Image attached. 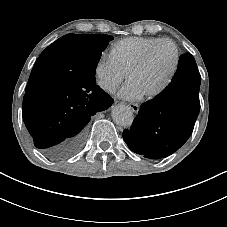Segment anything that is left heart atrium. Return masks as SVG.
<instances>
[{
  "label": "left heart atrium",
  "instance_id": "obj_1",
  "mask_svg": "<svg viewBox=\"0 0 227 227\" xmlns=\"http://www.w3.org/2000/svg\"><path fill=\"white\" fill-rule=\"evenodd\" d=\"M143 96L142 92L130 82H128L119 92L120 98L129 101L139 100Z\"/></svg>",
  "mask_w": 227,
  "mask_h": 227
}]
</instances>
